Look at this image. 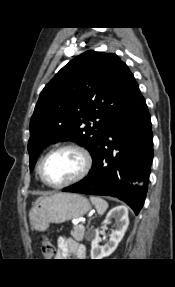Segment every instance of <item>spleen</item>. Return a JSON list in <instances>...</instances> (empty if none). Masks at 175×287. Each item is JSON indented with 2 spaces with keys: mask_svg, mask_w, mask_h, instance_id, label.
I'll list each match as a JSON object with an SVG mask.
<instances>
[{
  "mask_svg": "<svg viewBox=\"0 0 175 287\" xmlns=\"http://www.w3.org/2000/svg\"><path fill=\"white\" fill-rule=\"evenodd\" d=\"M90 200L94 204L99 214H103L108 208V203L100 197L90 196Z\"/></svg>",
  "mask_w": 175,
  "mask_h": 287,
  "instance_id": "spleen-1",
  "label": "spleen"
}]
</instances>
